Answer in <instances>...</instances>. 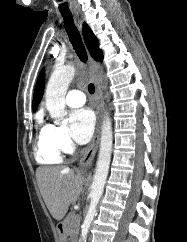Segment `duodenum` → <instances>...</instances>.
Segmentation results:
<instances>
[{"instance_id": "1", "label": "duodenum", "mask_w": 187, "mask_h": 242, "mask_svg": "<svg viewBox=\"0 0 187 242\" xmlns=\"http://www.w3.org/2000/svg\"><path fill=\"white\" fill-rule=\"evenodd\" d=\"M59 230H60V232L62 233V228H61V227L59 228Z\"/></svg>"}]
</instances>
